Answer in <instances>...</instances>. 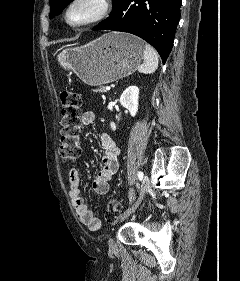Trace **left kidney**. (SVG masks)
Listing matches in <instances>:
<instances>
[{
  "mask_svg": "<svg viewBox=\"0 0 240 281\" xmlns=\"http://www.w3.org/2000/svg\"><path fill=\"white\" fill-rule=\"evenodd\" d=\"M138 98L139 88L137 86H129L120 96L121 105L129 110L132 117H134L138 111ZM110 125L112 130L116 129L114 122H111Z\"/></svg>",
  "mask_w": 240,
  "mask_h": 281,
  "instance_id": "5707ae66",
  "label": "left kidney"
}]
</instances>
